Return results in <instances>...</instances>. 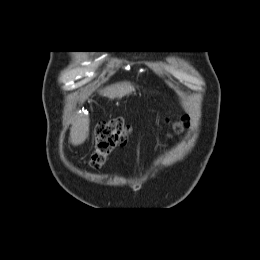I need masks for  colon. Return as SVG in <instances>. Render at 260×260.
Wrapping results in <instances>:
<instances>
[{
    "label": "colon",
    "mask_w": 260,
    "mask_h": 260,
    "mask_svg": "<svg viewBox=\"0 0 260 260\" xmlns=\"http://www.w3.org/2000/svg\"><path fill=\"white\" fill-rule=\"evenodd\" d=\"M188 125L189 118L183 116L172 124V129L175 133H181ZM130 132V125L120 117L99 122L95 130V150L90 160L91 166L95 169L102 167L115 148L126 145Z\"/></svg>",
    "instance_id": "1"
}]
</instances>
